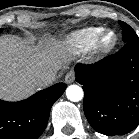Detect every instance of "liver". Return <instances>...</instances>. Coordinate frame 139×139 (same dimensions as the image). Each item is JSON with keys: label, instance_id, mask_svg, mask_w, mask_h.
I'll return each mask as SVG.
<instances>
[{"label": "liver", "instance_id": "obj_1", "mask_svg": "<svg viewBox=\"0 0 139 139\" xmlns=\"http://www.w3.org/2000/svg\"><path fill=\"white\" fill-rule=\"evenodd\" d=\"M70 56L55 39L30 46L14 36L0 37V99L21 100L39 88L36 79L62 70Z\"/></svg>", "mask_w": 139, "mask_h": 139}]
</instances>
